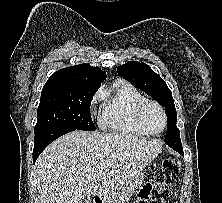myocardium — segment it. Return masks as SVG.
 Masks as SVG:
<instances>
[{"mask_svg": "<svg viewBox=\"0 0 222 203\" xmlns=\"http://www.w3.org/2000/svg\"><path fill=\"white\" fill-rule=\"evenodd\" d=\"M149 106L156 107L162 114L164 125H163V128L158 132L152 131L147 126V124L145 122L144 114H145L147 107H149ZM136 119H137L139 125L141 126V128H143L148 134H151V135H160L161 133H163L165 131V129L167 127V123H168L167 115H166L164 108L158 102H156L154 100H148V99H145L143 102H141L138 105V107L136 109Z\"/></svg>", "mask_w": 222, "mask_h": 203, "instance_id": "f54148a6", "label": "myocardium"}]
</instances>
